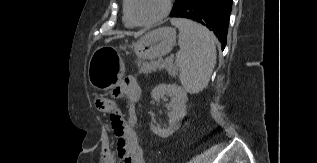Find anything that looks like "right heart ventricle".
<instances>
[{"mask_svg": "<svg viewBox=\"0 0 317 163\" xmlns=\"http://www.w3.org/2000/svg\"><path fill=\"white\" fill-rule=\"evenodd\" d=\"M123 22L127 27H133L134 24L131 22L128 12H127V0H124V9H123Z\"/></svg>", "mask_w": 317, "mask_h": 163, "instance_id": "obj_1", "label": "right heart ventricle"}]
</instances>
